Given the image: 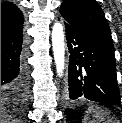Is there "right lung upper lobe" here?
I'll return each mask as SVG.
<instances>
[{
	"mask_svg": "<svg viewBox=\"0 0 122 123\" xmlns=\"http://www.w3.org/2000/svg\"><path fill=\"white\" fill-rule=\"evenodd\" d=\"M24 17L21 10L10 2L1 4V26L23 27Z\"/></svg>",
	"mask_w": 122,
	"mask_h": 123,
	"instance_id": "right-lung-upper-lobe-1",
	"label": "right lung upper lobe"
}]
</instances>
